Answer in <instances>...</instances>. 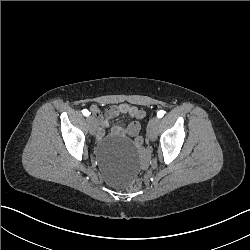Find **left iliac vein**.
<instances>
[{
  "label": "left iliac vein",
  "mask_w": 250,
  "mask_h": 250,
  "mask_svg": "<svg viewBox=\"0 0 250 250\" xmlns=\"http://www.w3.org/2000/svg\"><path fill=\"white\" fill-rule=\"evenodd\" d=\"M159 123V118L155 116L149 120L147 134L151 141H154L156 139Z\"/></svg>",
  "instance_id": "4c4485c4"
}]
</instances>
